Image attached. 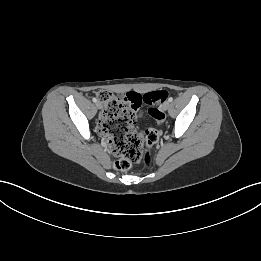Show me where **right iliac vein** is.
<instances>
[{"label":"right iliac vein","mask_w":261,"mask_h":261,"mask_svg":"<svg viewBox=\"0 0 261 261\" xmlns=\"http://www.w3.org/2000/svg\"><path fill=\"white\" fill-rule=\"evenodd\" d=\"M96 106L98 109H101V107H102L101 102L100 101L96 102Z\"/></svg>","instance_id":"right-iliac-vein-1"}]
</instances>
